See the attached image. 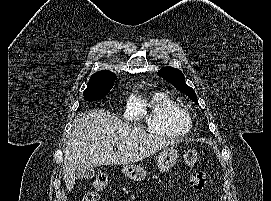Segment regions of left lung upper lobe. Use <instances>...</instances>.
Masks as SVG:
<instances>
[{
    "instance_id": "left-lung-upper-lobe-1",
    "label": "left lung upper lobe",
    "mask_w": 271,
    "mask_h": 201,
    "mask_svg": "<svg viewBox=\"0 0 271 201\" xmlns=\"http://www.w3.org/2000/svg\"><path fill=\"white\" fill-rule=\"evenodd\" d=\"M158 75L163 79L169 81L171 84L174 85L176 89H178L182 93H185L192 101L198 104L195 91L191 87L186 85L185 77L180 70L167 66L161 68L158 71Z\"/></svg>"
}]
</instances>
